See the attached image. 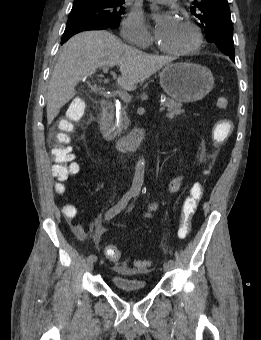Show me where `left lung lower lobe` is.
Returning a JSON list of instances; mask_svg holds the SVG:
<instances>
[{
  "mask_svg": "<svg viewBox=\"0 0 261 340\" xmlns=\"http://www.w3.org/2000/svg\"><path fill=\"white\" fill-rule=\"evenodd\" d=\"M230 58H231L232 61H235L234 56H230Z\"/></svg>",
  "mask_w": 261,
  "mask_h": 340,
  "instance_id": "0a47b994",
  "label": "left lung lower lobe"
}]
</instances>
